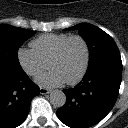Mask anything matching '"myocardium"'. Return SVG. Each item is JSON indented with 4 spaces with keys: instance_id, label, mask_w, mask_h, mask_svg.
<instances>
[{
    "instance_id": "myocardium-1",
    "label": "myocardium",
    "mask_w": 128,
    "mask_h": 128,
    "mask_svg": "<svg viewBox=\"0 0 128 128\" xmlns=\"http://www.w3.org/2000/svg\"><path fill=\"white\" fill-rule=\"evenodd\" d=\"M74 39L80 40L84 46L85 49V60H84V65L82 67L81 72L72 80L69 81H65V83L67 85H75L78 82H80L85 74L87 73V70L89 68V64H90V57H91V53H90V46L88 41L81 35H70L68 38H66L59 46V48L57 49L56 53L51 57V59L48 62V67L55 61L59 60L65 51L66 46L68 45V43Z\"/></svg>"
}]
</instances>
